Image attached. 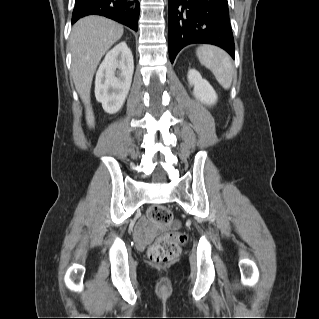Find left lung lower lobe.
Segmentation results:
<instances>
[{"mask_svg":"<svg viewBox=\"0 0 319 319\" xmlns=\"http://www.w3.org/2000/svg\"><path fill=\"white\" fill-rule=\"evenodd\" d=\"M168 3V45L172 63L183 47L193 43L219 46L234 58L227 0H168Z\"/></svg>","mask_w":319,"mask_h":319,"instance_id":"obj_1","label":"left lung lower lobe"}]
</instances>
